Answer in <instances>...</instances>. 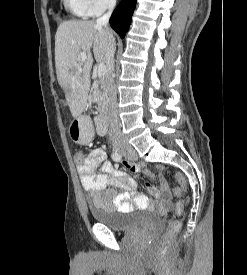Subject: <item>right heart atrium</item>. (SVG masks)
<instances>
[{
	"label": "right heart atrium",
	"instance_id": "1",
	"mask_svg": "<svg viewBox=\"0 0 247 275\" xmlns=\"http://www.w3.org/2000/svg\"><path fill=\"white\" fill-rule=\"evenodd\" d=\"M91 16H97L112 9L116 0H84Z\"/></svg>",
	"mask_w": 247,
	"mask_h": 275
}]
</instances>
